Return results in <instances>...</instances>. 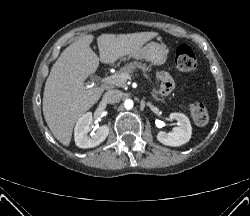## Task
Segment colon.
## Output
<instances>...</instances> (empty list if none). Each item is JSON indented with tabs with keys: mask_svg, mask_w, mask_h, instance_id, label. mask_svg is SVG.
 Instances as JSON below:
<instances>
[{
	"mask_svg": "<svg viewBox=\"0 0 250 216\" xmlns=\"http://www.w3.org/2000/svg\"><path fill=\"white\" fill-rule=\"evenodd\" d=\"M176 65L179 70L192 72L197 68V58L193 50L187 45H181L176 50ZM190 114L197 125H205L209 121V114L200 102H194L190 105Z\"/></svg>",
	"mask_w": 250,
	"mask_h": 216,
	"instance_id": "colon-1",
	"label": "colon"
}]
</instances>
